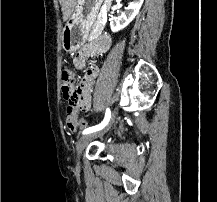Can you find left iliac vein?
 <instances>
[{
    "label": "left iliac vein",
    "instance_id": "4c4485c4",
    "mask_svg": "<svg viewBox=\"0 0 217 202\" xmlns=\"http://www.w3.org/2000/svg\"><path fill=\"white\" fill-rule=\"evenodd\" d=\"M116 118V112L113 111L110 120L108 124L99 132H94L90 134L83 135L80 137L76 144V152H77V158L79 159L81 157V154L83 150L85 149L86 145L94 138L103 136L114 124Z\"/></svg>",
    "mask_w": 217,
    "mask_h": 202
}]
</instances>
